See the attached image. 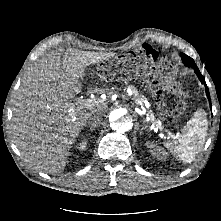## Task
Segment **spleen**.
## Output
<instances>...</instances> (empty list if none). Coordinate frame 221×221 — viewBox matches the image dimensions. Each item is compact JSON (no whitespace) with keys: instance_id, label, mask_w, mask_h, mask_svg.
I'll list each match as a JSON object with an SVG mask.
<instances>
[{"instance_id":"3e777b00","label":"spleen","mask_w":221,"mask_h":221,"mask_svg":"<svg viewBox=\"0 0 221 221\" xmlns=\"http://www.w3.org/2000/svg\"><path fill=\"white\" fill-rule=\"evenodd\" d=\"M207 128L206 114L198 110L183 128L182 135L172 142H165L164 146L183 162L191 163L205 143Z\"/></svg>"}]
</instances>
